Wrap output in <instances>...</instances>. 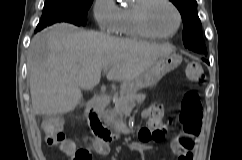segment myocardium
<instances>
[{"mask_svg":"<svg viewBox=\"0 0 242 160\" xmlns=\"http://www.w3.org/2000/svg\"><path fill=\"white\" fill-rule=\"evenodd\" d=\"M156 0H139L132 9V16L133 21L136 28L146 37L153 38V39H169L175 36L181 28L182 25V14L179 8L172 0H162L163 2L167 3L176 13L177 16V25L175 30L169 34H158L153 32L147 22H146V11L151 3Z\"/></svg>","mask_w":242,"mask_h":160,"instance_id":"f54148a6","label":"myocardium"}]
</instances>
